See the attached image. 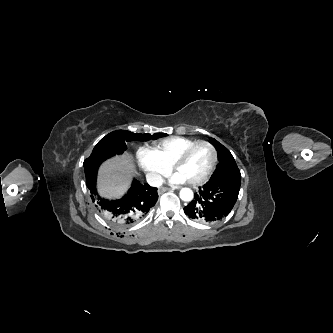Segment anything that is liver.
I'll list each match as a JSON object with an SVG mask.
<instances>
[{"label": "liver", "instance_id": "liver-1", "mask_svg": "<svg viewBox=\"0 0 333 333\" xmlns=\"http://www.w3.org/2000/svg\"><path fill=\"white\" fill-rule=\"evenodd\" d=\"M137 173L129 154L106 160L99 168L98 191L108 199L119 198L128 190L132 176Z\"/></svg>", "mask_w": 333, "mask_h": 333}]
</instances>
